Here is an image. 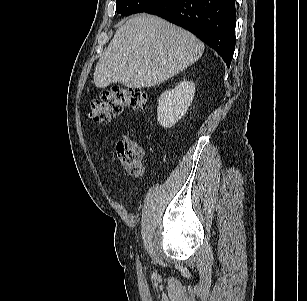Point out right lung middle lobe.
Here are the masks:
<instances>
[{"mask_svg": "<svg viewBox=\"0 0 307 301\" xmlns=\"http://www.w3.org/2000/svg\"><path fill=\"white\" fill-rule=\"evenodd\" d=\"M158 0H116V12L122 16H129L142 12L145 8Z\"/></svg>", "mask_w": 307, "mask_h": 301, "instance_id": "obj_1", "label": "right lung middle lobe"}]
</instances>
